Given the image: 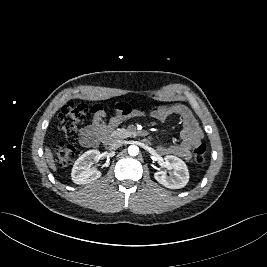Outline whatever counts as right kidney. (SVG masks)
Returning a JSON list of instances; mask_svg holds the SVG:
<instances>
[{"instance_id":"obj_1","label":"right kidney","mask_w":267,"mask_h":267,"mask_svg":"<svg viewBox=\"0 0 267 267\" xmlns=\"http://www.w3.org/2000/svg\"><path fill=\"white\" fill-rule=\"evenodd\" d=\"M101 158L99 150H89L82 154L74 163L71 177L74 183L83 185L88 184L101 177V172L91 165L98 162Z\"/></svg>"}]
</instances>
